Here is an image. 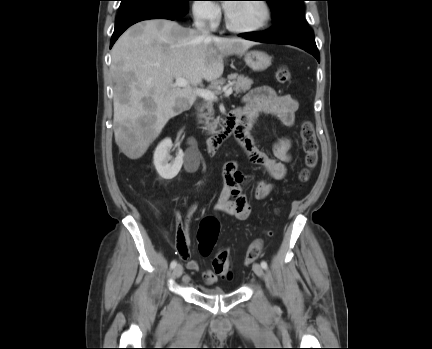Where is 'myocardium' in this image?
Here are the masks:
<instances>
[{"mask_svg":"<svg viewBox=\"0 0 432 349\" xmlns=\"http://www.w3.org/2000/svg\"><path fill=\"white\" fill-rule=\"evenodd\" d=\"M257 2H260L263 9H264V18L258 25L252 26V27L236 26L232 23V21L229 17L228 11H226L225 12V25H226V27L230 31H233L235 33H242V34L255 33V32H259V31L263 30L264 28H266L268 26V24L270 23L271 18H272L271 6L267 0H257Z\"/></svg>","mask_w":432,"mask_h":349,"instance_id":"obj_1","label":"myocardium"}]
</instances>
